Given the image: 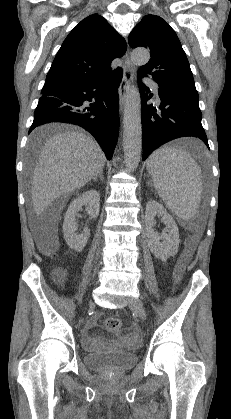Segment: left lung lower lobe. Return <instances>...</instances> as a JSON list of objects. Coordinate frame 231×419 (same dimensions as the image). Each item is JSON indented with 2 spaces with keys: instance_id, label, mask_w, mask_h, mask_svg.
<instances>
[{
  "instance_id": "1",
  "label": "left lung lower lobe",
  "mask_w": 231,
  "mask_h": 419,
  "mask_svg": "<svg viewBox=\"0 0 231 419\" xmlns=\"http://www.w3.org/2000/svg\"><path fill=\"white\" fill-rule=\"evenodd\" d=\"M137 77L141 93L143 160L162 144L180 137H197L209 148L201 124L198 93L159 86L161 103L156 108L146 104L150 90L141 82L143 76L137 74Z\"/></svg>"
}]
</instances>
